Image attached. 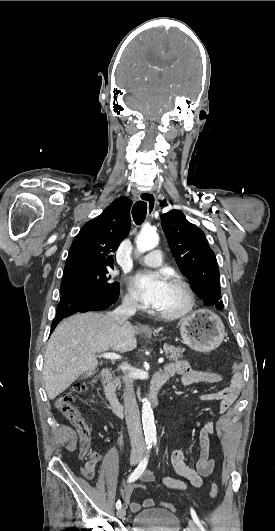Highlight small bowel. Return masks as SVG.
<instances>
[{
	"mask_svg": "<svg viewBox=\"0 0 275 531\" xmlns=\"http://www.w3.org/2000/svg\"><path fill=\"white\" fill-rule=\"evenodd\" d=\"M164 371L168 373L169 377L178 376L181 385L185 387L199 383L218 384L223 381V376L220 373L193 370L189 364L183 360H177L167 364ZM241 386L242 375L239 372H235L226 388L219 392L203 393L200 395V400L203 402L220 400L219 411L220 413H225L237 400ZM214 429V422L208 420L199 430V453L194 468L188 465V455L184 449H175L169 456L170 467L176 474L185 478L193 487L202 486L203 478L210 476L214 470L215 458L210 452V436L214 433ZM89 459H98V461H100L101 456L98 452H92ZM83 476L87 479H92L94 477V475ZM139 479L143 480L144 483H150L155 480V476L151 471L144 470L141 472ZM162 483L167 488L173 490H186L188 487L186 482L173 477H164ZM135 489L134 485H127L122 488L121 492V498L123 502L129 506L130 512L138 513L142 507L152 508L154 502L151 499H145L142 503L131 500Z\"/></svg>",
	"mask_w": 275,
	"mask_h": 531,
	"instance_id": "1",
	"label": "small bowel"
}]
</instances>
